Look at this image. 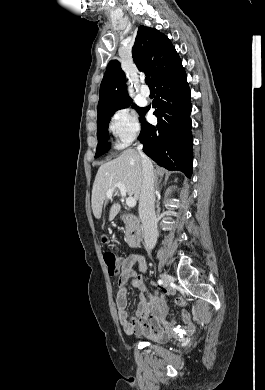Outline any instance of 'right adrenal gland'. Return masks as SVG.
<instances>
[{"label":"right adrenal gland","instance_id":"obj_1","mask_svg":"<svg viewBox=\"0 0 265 390\" xmlns=\"http://www.w3.org/2000/svg\"><path fill=\"white\" fill-rule=\"evenodd\" d=\"M155 183H156V184L158 183V177H157V174L155 175Z\"/></svg>","mask_w":265,"mask_h":390}]
</instances>
